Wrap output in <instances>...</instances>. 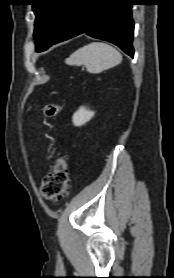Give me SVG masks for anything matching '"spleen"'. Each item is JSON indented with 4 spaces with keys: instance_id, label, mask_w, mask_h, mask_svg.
<instances>
[{
    "instance_id": "1",
    "label": "spleen",
    "mask_w": 174,
    "mask_h": 278,
    "mask_svg": "<svg viewBox=\"0 0 174 278\" xmlns=\"http://www.w3.org/2000/svg\"><path fill=\"white\" fill-rule=\"evenodd\" d=\"M122 55L106 43L93 42L85 45L66 60L69 65H85L89 73H100L106 69L120 64Z\"/></svg>"
}]
</instances>
